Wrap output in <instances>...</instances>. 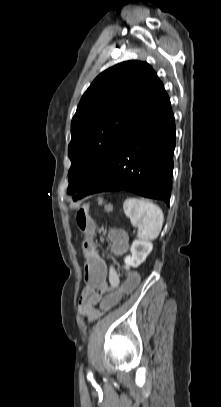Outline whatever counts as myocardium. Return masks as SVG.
Returning <instances> with one entry per match:
<instances>
[{"mask_svg":"<svg viewBox=\"0 0 221 407\" xmlns=\"http://www.w3.org/2000/svg\"><path fill=\"white\" fill-rule=\"evenodd\" d=\"M92 171H93V173H98V172L100 171V167H99V166H95V167L92 169Z\"/></svg>","mask_w":221,"mask_h":407,"instance_id":"1","label":"myocardium"}]
</instances>
